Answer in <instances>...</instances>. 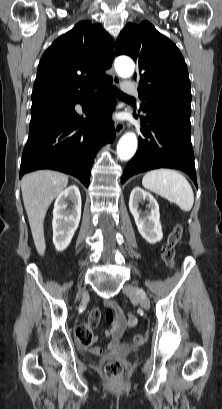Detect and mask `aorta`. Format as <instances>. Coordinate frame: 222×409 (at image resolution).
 Returning <instances> with one entry per match:
<instances>
[{"mask_svg":"<svg viewBox=\"0 0 222 409\" xmlns=\"http://www.w3.org/2000/svg\"><path fill=\"white\" fill-rule=\"evenodd\" d=\"M135 69L134 62L127 57H118L115 61V70L122 78H128L133 75ZM138 146L137 137L134 133L124 134L117 144V157L121 161L130 160L136 153Z\"/></svg>","mask_w":222,"mask_h":409,"instance_id":"aorta-1","label":"aorta"}]
</instances>
